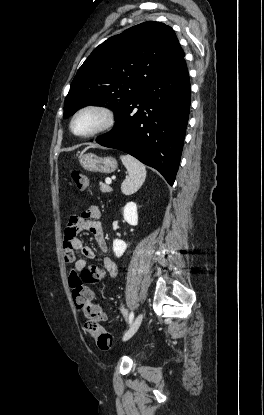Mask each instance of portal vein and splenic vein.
Instances as JSON below:
<instances>
[{
	"label": "portal vein and splenic vein",
	"instance_id": "portal-vein-and-splenic-vein-1",
	"mask_svg": "<svg viewBox=\"0 0 264 415\" xmlns=\"http://www.w3.org/2000/svg\"><path fill=\"white\" fill-rule=\"evenodd\" d=\"M111 182H112V180H111V179H107V180H106V183H107V184H111Z\"/></svg>",
	"mask_w": 264,
	"mask_h": 415
}]
</instances>
